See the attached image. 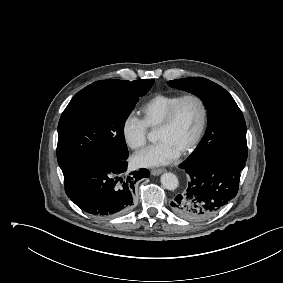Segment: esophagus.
I'll return each mask as SVG.
<instances>
[{
    "mask_svg": "<svg viewBox=\"0 0 283 283\" xmlns=\"http://www.w3.org/2000/svg\"><path fill=\"white\" fill-rule=\"evenodd\" d=\"M165 171V169H162V168H158V169H152L151 170V174L153 176H158L160 175L161 173H163Z\"/></svg>",
    "mask_w": 283,
    "mask_h": 283,
    "instance_id": "34e87169",
    "label": "esophagus"
}]
</instances>
